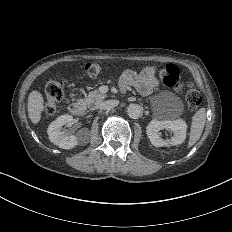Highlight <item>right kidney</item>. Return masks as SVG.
Returning a JSON list of instances; mask_svg holds the SVG:
<instances>
[{
    "mask_svg": "<svg viewBox=\"0 0 232 232\" xmlns=\"http://www.w3.org/2000/svg\"><path fill=\"white\" fill-rule=\"evenodd\" d=\"M73 122V117L71 115H62L53 121L47 129V134L50 141L58 145L60 148L71 149L77 144L86 145L89 141L87 136H78L72 134H65L62 130V126H69Z\"/></svg>",
    "mask_w": 232,
    "mask_h": 232,
    "instance_id": "right-kidney-1",
    "label": "right kidney"
}]
</instances>
